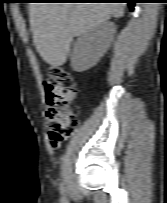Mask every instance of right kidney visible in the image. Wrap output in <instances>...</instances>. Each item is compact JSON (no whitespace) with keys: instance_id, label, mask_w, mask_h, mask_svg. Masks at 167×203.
<instances>
[{"instance_id":"right-kidney-1","label":"right kidney","mask_w":167,"mask_h":203,"mask_svg":"<svg viewBox=\"0 0 167 203\" xmlns=\"http://www.w3.org/2000/svg\"><path fill=\"white\" fill-rule=\"evenodd\" d=\"M115 32L114 23L106 21L83 33L74 45L71 60L73 70L82 72L93 67L106 52Z\"/></svg>"}]
</instances>
